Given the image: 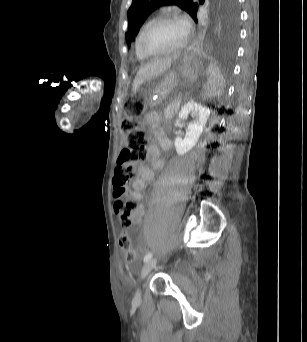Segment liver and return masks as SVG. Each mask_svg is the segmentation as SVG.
I'll list each match as a JSON object with an SVG mask.
<instances>
[{"label": "liver", "instance_id": "6515ba94", "mask_svg": "<svg viewBox=\"0 0 307 342\" xmlns=\"http://www.w3.org/2000/svg\"><path fill=\"white\" fill-rule=\"evenodd\" d=\"M175 58H177V56H173V58H161V60H155V62H149V64L142 66L133 80L132 92H137L141 84H143L144 80H147V78H157L162 72L171 68Z\"/></svg>", "mask_w": 307, "mask_h": 342}]
</instances>
